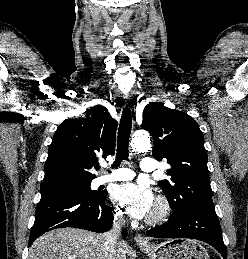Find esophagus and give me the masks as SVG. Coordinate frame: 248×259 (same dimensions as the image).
Returning a JSON list of instances; mask_svg holds the SVG:
<instances>
[{"label":"esophagus","instance_id":"34e87169","mask_svg":"<svg viewBox=\"0 0 248 259\" xmlns=\"http://www.w3.org/2000/svg\"><path fill=\"white\" fill-rule=\"evenodd\" d=\"M124 101L128 105L130 103V101H131V95H128V94L125 95L124 96ZM135 241L138 244H146L147 243V240L144 237H142L140 234H137L135 236Z\"/></svg>","mask_w":248,"mask_h":259}]
</instances>
